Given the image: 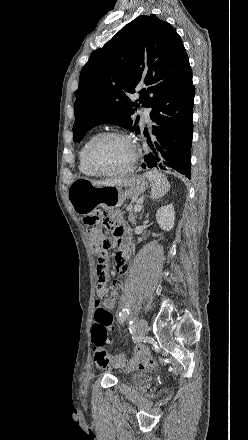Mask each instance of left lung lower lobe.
<instances>
[{"label": "left lung lower lobe", "instance_id": "0a47b994", "mask_svg": "<svg viewBox=\"0 0 248 440\" xmlns=\"http://www.w3.org/2000/svg\"><path fill=\"white\" fill-rule=\"evenodd\" d=\"M194 94L191 80L168 93L150 114L156 122L152 133L158 141L155 147L150 144L152 151L145 155L143 168L179 172L190 179ZM159 112L165 115L160 116Z\"/></svg>", "mask_w": 248, "mask_h": 440}]
</instances>
